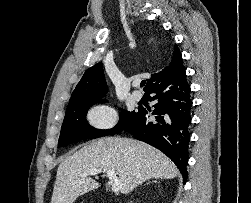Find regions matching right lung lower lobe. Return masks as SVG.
<instances>
[{"label": "right lung lower lobe", "instance_id": "right-lung-lower-lobe-1", "mask_svg": "<svg viewBox=\"0 0 251 203\" xmlns=\"http://www.w3.org/2000/svg\"><path fill=\"white\" fill-rule=\"evenodd\" d=\"M146 94L153 95L154 110L139 109L122 130L161 150L175 163L185 182L192 100L183 65L149 88ZM152 115L154 120H150Z\"/></svg>", "mask_w": 251, "mask_h": 203}]
</instances>
